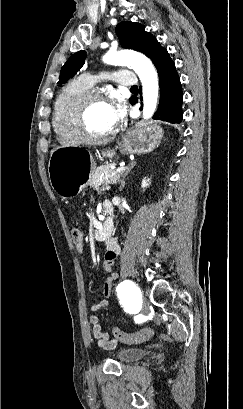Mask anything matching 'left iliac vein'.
Returning a JSON list of instances; mask_svg holds the SVG:
<instances>
[{
  "label": "left iliac vein",
  "mask_w": 243,
  "mask_h": 409,
  "mask_svg": "<svg viewBox=\"0 0 243 409\" xmlns=\"http://www.w3.org/2000/svg\"><path fill=\"white\" fill-rule=\"evenodd\" d=\"M148 311H149L148 302H147V300L144 298V299H143V312H144V313H148Z\"/></svg>",
  "instance_id": "4c4485c4"
}]
</instances>
